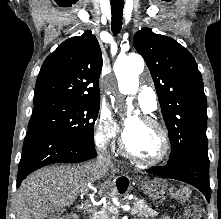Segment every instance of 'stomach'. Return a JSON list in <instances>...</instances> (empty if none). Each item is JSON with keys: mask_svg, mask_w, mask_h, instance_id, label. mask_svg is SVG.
<instances>
[{"mask_svg": "<svg viewBox=\"0 0 221 219\" xmlns=\"http://www.w3.org/2000/svg\"><path fill=\"white\" fill-rule=\"evenodd\" d=\"M166 187L164 178H145V183L141 186L143 192L153 200L170 199V194L165 190Z\"/></svg>", "mask_w": 221, "mask_h": 219, "instance_id": "obj_1", "label": "stomach"}]
</instances>
